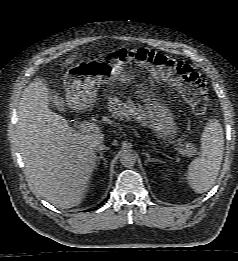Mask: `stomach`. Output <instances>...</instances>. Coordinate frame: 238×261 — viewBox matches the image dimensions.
<instances>
[{
  "instance_id": "obj_1",
  "label": "stomach",
  "mask_w": 238,
  "mask_h": 261,
  "mask_svg": "<svg viewBox=\"0 0 238 261\" xmlns=\"http://www.w3.org/2000/svg\"><path fill=\"white\" fill-rule=\"evenodd\" d=\"M117 66L104 62H86L71 66L64 75L66 102L72 109L87 110L94 107L102 84L113 80L119 73ZM149 125L162 138L176 132L174 119L160 104L145 111Z\"/></svg>"
}]
</instances>
